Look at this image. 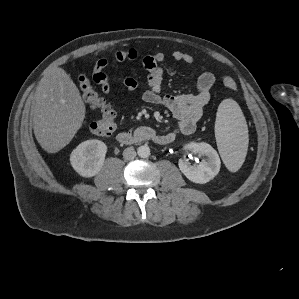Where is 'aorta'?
Returning a JSON list of instances; mask_svg holds the SVG:
<instances>
[{
  "label": "aorta",
  "instance_id": "762f6f07",
  "mask_svg": "<svg viewBox=\"0 0 299 299\" xmlns=\"http://www.w3.org/2000/svg\"><path fill=\"white\" fill-rule=\"evenodd\" d=\"M137 153H138L139 157L147 158L150 156V148L148 147V145H142V146L138 147Z\"/></svg>",
  "mask_w": 299,
  "mask_h": 299
}]
</instances>
